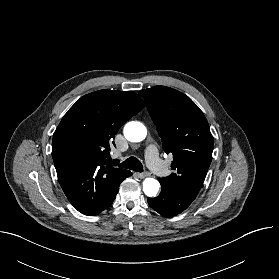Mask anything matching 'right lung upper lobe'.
Segmentation results:
<instances>
[{"label":"right lung upper lobe","instance_id":"1","mask_svg":"<svg viewBox=\"0 0 279 279\" xmlns=\"http://www.w3.org/2000/svg\"><path fill=\"white\" fill-rule=\"evenodd\" d=\"M145 107L133 91L99 90L81 97L64 115L52 140L59 183L71 204L86 214L99 207L127 174L108 162L120 129Z\"/></svg>","mask_w":279,"mask_h":279}]
</instances>
